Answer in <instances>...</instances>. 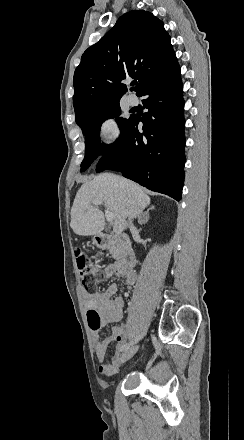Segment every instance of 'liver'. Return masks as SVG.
Masks as SVG:
<instances>
[{
  "mask_svg": "<svg viewBox=\"0 0 244 440\" xmlns=\"http://www.w3.org/2000/svg\"><path fill=\"white\" fill-rule=\"evenodd\" d=\"M95 200L112 212L115 234H122L127 218H136L150 204L149 196L138 184L114 174H99L91 182H83L75 196L70 226L77 236H97L104 230V214L93 206Z\"/></svg>",
  "mask_w": 244,
  "mask_h": 440,
  "instance_id": "obj_1",
  "label": "liver"
}]
</instances>
